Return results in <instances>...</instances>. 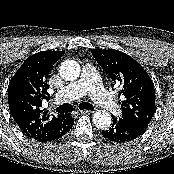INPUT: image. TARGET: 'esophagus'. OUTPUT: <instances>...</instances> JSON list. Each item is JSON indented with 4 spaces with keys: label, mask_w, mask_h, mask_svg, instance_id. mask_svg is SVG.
Wrapping results in <instances>:
<instances>
[{
    "label": "esophagus",
    "mask_w": 174,
    "mask_h": 174,
    "mask_svg": "<svg viewBox=\"0 0 174 174\" xmlns=\"http://www.w3.org/2000/svg\"><path fill=\"white\" fill-rule=\"evenodd\" d=\"M79 112L82 113V114H92V113H94L93 110H79Z\"/></svg>",
    "instance_id": "1"
}]
</instances>
